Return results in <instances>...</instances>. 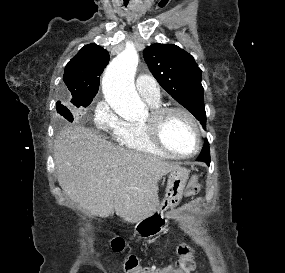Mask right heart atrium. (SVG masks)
<instances>
[{"instance_id": "obj_1", "label": "right heart atrium", "mask_w": 285, "mask_h": 273, "mask_svg": "<svg viewBox=\"0 0 285 273\" xmlns=\"http://www.w3.org/2000/svg\"><path fill=\"white\" fill-rule=\"evenodd\" d=\"M95 127L113 138H117L127 127V122L105 100L98 101L93 115Z\"/></svg>"}]
</instances>
